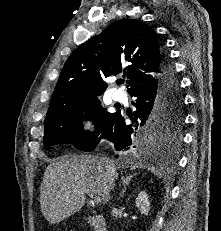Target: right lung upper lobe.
I'll return each instance as SVG.
<instances>
[{
    "label": "right lung upper lobe",
    "instance_id": "cb5924a9",
    "mask_svg": "<svg viewBox=\"0 0 221 231\" xmlns=\"http://www.w3.org/2000/svg\"><path fill=\"white\" fill-rule=\"evenodd\" d=\"M162 54L147 24L134 19L114 22L67 59L46 117L72 99L101 95L107 87L103 78L122 71L130 79L128 93L154 83L161 75Z\"/></svg>",
    "mask_w": 221,
    "mask_h": 231
}]
</instances>
